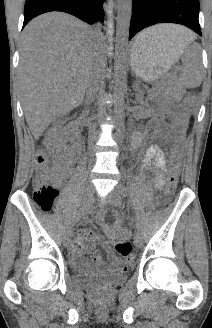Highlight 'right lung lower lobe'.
<instances>
[{
    "mask_svg": "<svg viewBox=\"0 0 212 328\" xmlns=\"http://www.w3.org/2000/svg\"><path fill=\"white\" fill-rule=\"evenodd\" d=\"M104 0H26L23 27L34 17L51 11L72 14L93 24L104 17Z\"/></svg>",
    "mask_w": 212,
    "mask_h": 328,
    "instance_id": "1",
    "label": "right lung lower lobe"
}]
</instances>
